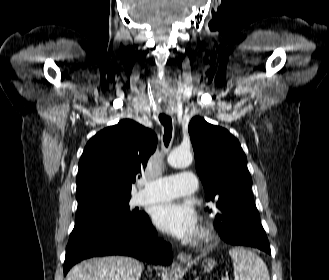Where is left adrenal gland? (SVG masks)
<instances>
[{"instance_id": "a2214340", "label": "left adrenal gland", "mask_w": 329, "mask_h": 280, "mask_svg": "<svg viewBox=\"0 0 329 280\" xmlns=\"http://www.w3.org/2000/svg\"><path fill=\"white\" fill-rule=\"evenodd\" d=\"M195 280H199V277H197Z\"/></svg>"}]
</instances>
